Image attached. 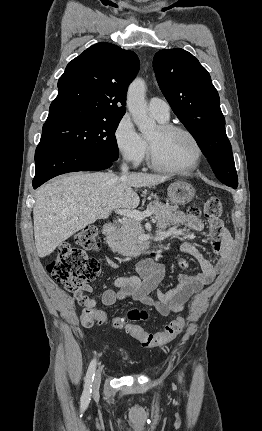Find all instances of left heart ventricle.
<instances>
[{
    "label": "left heart ventricle",
    "instance_id": "obj_1",
    "mask_svg": "<svg viewBox=\"0 0 262 431\" xmlns=\"http://www.w3.org/2000/svg\"><path fill=\"white\" fill-rule=\"evenodd\" d=\"M157 160L172 168H188L195 157L190 138L180 132L161 133L158 127L148 136Z\"/></svg>",
    "mask_w": 262,
    "mask_h": 431
}]
</instances>
